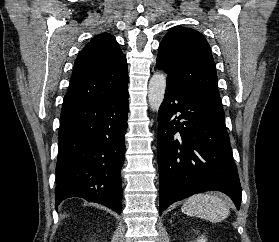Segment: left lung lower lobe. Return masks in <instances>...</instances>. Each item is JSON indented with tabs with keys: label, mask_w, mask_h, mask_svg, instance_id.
Here are the masks:
<instances>
[{
	"label": "left lung lower lobe",
	"mask_w": 279,
	"mask_h": 242,
	"mask_svg": "<svg viewBox=\"0 0 279 242\" xmlns=\"http://www.w3.org/2000/svg\"><path fill=\"white\" fill-rule=\"evenodd\" d=\"M166 85L158 111L159 214L211 190L227 194L239 208L242 189L225 118L168 76Z\"/></svg>",
	"instance_id": "obj_1"
}]
</instances>
